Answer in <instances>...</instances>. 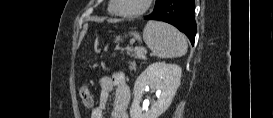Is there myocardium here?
<instances>
[{"label":"myocardium","instance_id":"myocardium-1","mask_svg":"<svg viewBox=\"0 0 273 118\" xmlns=\"http://www.w3.org/2000/svg\"><path fill=\"white\" fill-rule=\"evenodd\" d=\"M152 0H145L144 1V5L143 7L135 12H122L120 10H118L117 8V4H118V0H112L111 3V10L114 14L123 17V18H134V17H138L143 15L145 12H147V10L149 9L150 5H151Z\"/></svg>","mask_w":273,"mask_h":118}]
</instances>
